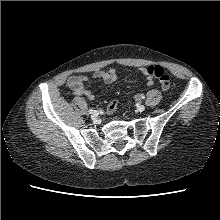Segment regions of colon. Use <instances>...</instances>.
Here are the masks:
<instances>
[{
	"label": "colon",
	"instance_id": "5ec220e1",
	"mask_svg": "<svg viewBox=\"0 0 220 220\" xmlns=\"http://www.w3.org/2000/svg\"><path fill=\"white\" fill-rule=\"evenodd\" d=\"M148 73L154 78L158 79L160 86L163 90H170L172 87V81L168 74L159 67V66H149L147 69ZM119 106V102L117 100H112L107 105V112L114 113Z\"/></svg>",
	"mask_w": 220,
	"mask_h": 220
}]
</instances>
